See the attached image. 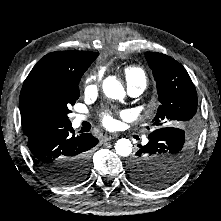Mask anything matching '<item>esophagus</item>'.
<instances>
[{
    "label": "esophagus",
    "mask_w": 221,
    "mask_h": 221,
    "mask_svg": "<svg viewBox=\"0 0 221 221\" xmlns=\"http://www.w3.org/2000/svg\"><path fill=\"white\" fill-rule=\"evenodd\" d=\"M112 139H114V136L105 135V136H103V137L101 138L100 141H101L102 143H104V142L110 141V140H112Z\"/></svg>",
    "instance_id": "esophagus-1"
}]
</instances>
